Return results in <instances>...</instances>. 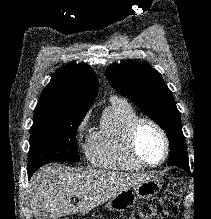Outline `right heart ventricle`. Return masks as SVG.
Listing matches in <instances>:
<instances>
[{
    "label": "right heart ventricle",
    "mask_w": 211,
    "mask_h": 219,
    "mask_svg": "<svg viewBox=\"0 0 211 219\" xmlns=\"http://www.w3.org/2000/svg\"><path fill=\"white\" fill-rule=\"evenodd\" d=\"M137 118V112L128 102L112 99L103 112L100 128L85 146L89 162L112 170H140L142 167L130 155L127 141L129 127Z\"/></svg>",
    "instance_id": "right-heart-ventricle-1"
}]
</instances>
